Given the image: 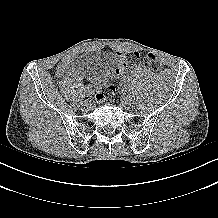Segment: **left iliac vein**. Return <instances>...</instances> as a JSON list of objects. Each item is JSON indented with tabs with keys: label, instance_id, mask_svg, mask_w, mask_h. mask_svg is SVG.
<instances>
[{
	"label": "left iliac vein",
	"instance_id": "1",
	"mask_svg": "<svg viewBox=\"0 0 218 218\" xmlns=\"http://www.w3.org/2000/svg\"><path fill=\"white\" fill-rule=\"evenodd\" d=\"M121 104H122V106H123L124 108L127 109V108H129V107L131 106V101L128 100L127 98H124V99H122Z\"/></svg>",
	"mask_w": 218,
	"mask_h": 218
}]
</instances>
